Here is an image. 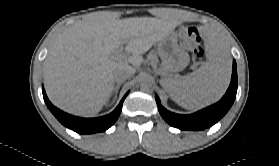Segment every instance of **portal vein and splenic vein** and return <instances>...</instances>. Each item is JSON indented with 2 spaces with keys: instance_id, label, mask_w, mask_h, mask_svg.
<instances>
[{
  "instance_id": "portal-vein-and-splenic-vein-1",
  "label": "portal vein and splenic vein",
  "mask_w": 279,
  "mask_h": 166,
  "mask_svg": "<svg viewBox=\"0 0 279 166\" xmlns=\"http://www.w3.org/2000/svg\"><path fill=\"white\" fill-rule=\"evenodd\" d=\"M113 57L117 60L124 59V56L122 55V49H119L116 52H114Z\"/></svg>"
}]
</instances>
